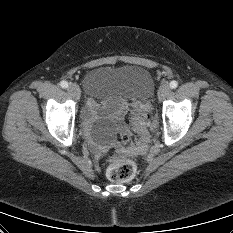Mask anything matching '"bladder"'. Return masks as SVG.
<instances>
[{
	"label": "bladder",
	"instance_id": "obj_1",
	"mask_svg": "<svg viewBox=\"0 0 233 233\" xmlns=\"http://www.w3.org/2000/svg\"><path fill=\"white\" fill-rule=\"evenodd\" d=\"M83 87L88 97L99 101L142 105L151 98L155 82L150 71L141 66L97 67L86 73Z\"/></svg>",
	"mask_w": 233,
	"mask_h": 233
}]
</instances>
